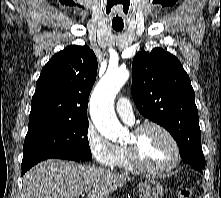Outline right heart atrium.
<instances>
[{
	"instance_id": "d8ad5b80",
	"label": "right heart atrium",
	"mask_w": 221,
	"mask_h": 198,
	"mask_svg": "<svg viewBox=\"0 0 221 198\" xmlns=\"http://www.w3.org/2000/svg\"><path fill=\"white\" fill-rule=\"evenodd\" d=\"M85 141L92 157L101 165L111 167L116 157V145L105 138L96 127L89 123Z\"/></svg>"
}]
</instances>
